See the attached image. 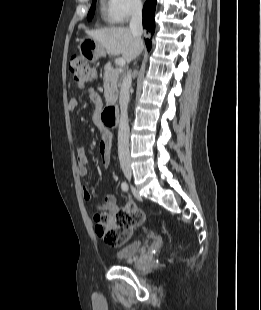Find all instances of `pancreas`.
Wrapping results in <instances>:
<instances>
[{
	"label": "pancreas",
	"instance_id": "cf45deb5",
	"mask_svg": "<svg viewBox=\"0 0 261 310\" xmlns=\"http://www.w3.org/2000/svg\"><path fill=\"white\" fill-rule=\"evenodd\" d=\"M121 72L114 68L110 62L104 66V97L107 103H115L118 98V88L120 87Z\"/></svg>",
	"mask_w": 261,
	"mask_h": 310
}]
</instances>
